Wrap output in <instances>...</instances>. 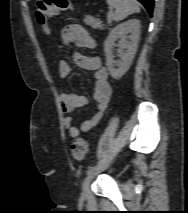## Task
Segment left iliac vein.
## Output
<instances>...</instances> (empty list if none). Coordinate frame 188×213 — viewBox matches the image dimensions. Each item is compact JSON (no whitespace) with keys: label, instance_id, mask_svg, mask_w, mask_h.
<instances>
[{"label":"left iliac vein","instance_id":"4c4485c4","mask_svg":"<svg viewBox=\"0 0 188 213\" xmlns=\"http://www.w3.org/2000/svg\"><path fill=\"white\" fill-rule=\"evenodd\" d=\"M94 177V173H90L84 180L83 184H82V195L83 196H88L89 194V190H90V184L91 181Z\"/></svg>","mask_w":188,"mask_h":213}]
</instances>
